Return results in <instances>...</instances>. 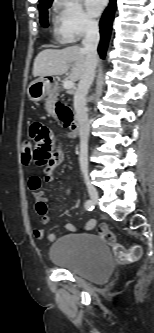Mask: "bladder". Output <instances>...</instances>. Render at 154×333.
Returning a JSON list of instances; mask_svg holds the SVG:
<instances>
[{
    "mask_svg": "<svg viewBox=\"0 0 154 333\" xmlns=\"http://www.w3.org/2000/svg\"><path fill=\"white\" fill-rule=\"evenodd\" d=\"M48 258L60 268L92 280L108 279L112 269L108 244L88 231L58 238L50 246Z\"/></svg>",
    "mask_w": 154,
    "mask_h": 333,
    "instance_id": "obj_1",
    "label": "bladder"
}]
</instances>
